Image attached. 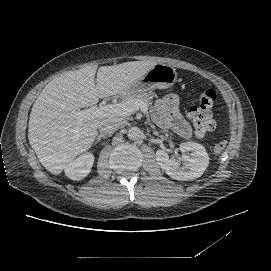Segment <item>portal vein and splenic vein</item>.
<instances>
[{"label": "portal vein and splenic vein", "instance_id": "obj_1", "mask_svg": "<svg viewBox=\"0 0 271 271\" xmlns=\"http://www.w3.org/2000/svg\"><path fill=\"white\" fill-rule=\"evenodd\" d=\"M139 109L144 114L148 112V106L145 102L140 100H131L118 104H108L100 107L93 106L89 109L75 111L73 112V116L80 120L85 118H103L107 116H130Z\"/></svg>", "mask_w": 271, "mask_h": 271}]
</instances>
